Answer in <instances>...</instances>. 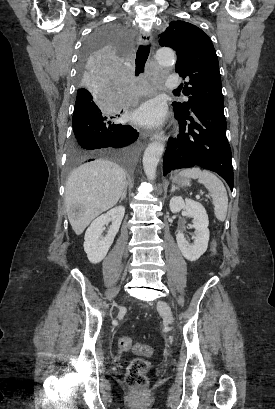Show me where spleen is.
<instances>
[{
  "mask_svg": "<svg viewBox=\"0 0 275 409\" xmlns=\"http://www.w3.org/2000/svg\"><path fill=\"white\" fill-rule=\"evenodd\" d=\"M180 174L189 176V178H198V182H202L208 188L213 198L216 219L225 221L228 211V196L222 180L209 170H200V168H186V170H181Z\"/></svg>",
  "mask_w": 275,
  "mask_h": 409,
  "instance_id": "obj_1",
  "label": "spleen"
}]
</instances>
